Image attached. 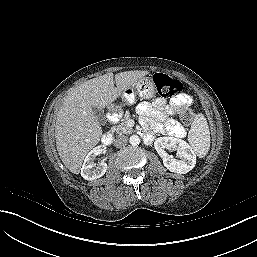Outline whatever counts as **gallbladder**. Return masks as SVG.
I'll return each mask as SVG.
<instances>
[{
	"label": "gallbladder",
	"instance_id": "gallbladder-1",
	"mask_svg": "<svg viewBox=\"0 0 257 257\" xmlns=\"http://www.w3.org/2000/svg\"><path fill=\"white\" fill-rule=\"evenodd\" d=\"M92 109H93V114L97 117L98 121L101 123H104L105 116H104L103 111L97 107H93Z\"/></svg>",
	"mask_w": 257,
	"mask_h": 257
}]
</instances>
